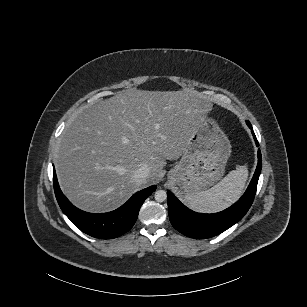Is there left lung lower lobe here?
<instances>
[{"label": "left lung lower lobe", "instance_id": "obj_1", "mask_svg": "<svg viewBox=\"0 0 307 307\" xmlns=\"http://www.w3.org/2000/svg\"><path fill=\"white\" fill-rule=\"evenodd\" d=\"M247 125L252 129L250 122ZM256 145L257 138L252 131ZM262 167L261 151L258 150V165L244 195L228 209L215 214L196 213L185 207L170 191L167 192L169 218L172 226L191 238H210L237 223L247 213L255 197Z\"/></svg>", "mask_w": 307, "mask_h": 307}]
</instances>
